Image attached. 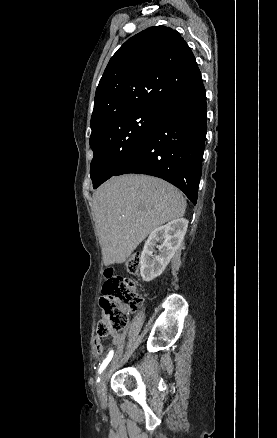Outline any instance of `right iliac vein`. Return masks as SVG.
I'll return each mask as SVG.
<instances>
[{
    "label": "right iliac vein",
    "mask_w": 277,
    "mask_h": 438,
    "mask_svg": "<svg viewBox=\"0 0 277 438\" xmlns=\"http://www.w3.org/2000/svg\"><path fill=\"white\" fill-rule=\"evenodd\" d=\"M106 378H107V369L101 374L100 396L102 398H104L106 394Z\"/></svg>",
    "instance_id": "63e3f726"
}]
</instances>
